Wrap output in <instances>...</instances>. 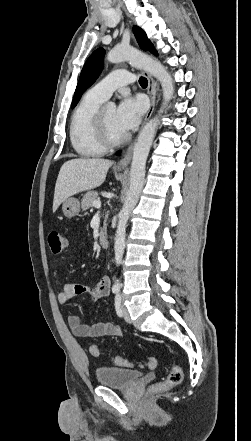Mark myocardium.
<instances>
[{"label":"myocardium","mask_w":251,"mask_h":441,"mask_svg":"<svg viewBox=\"0 0 251 441\" xmlns=\"http://www.w3.org/2000/svg\"><path fill=\"white\" fill-rule=\"evenodd\" d=\"M104 108H100L95 116V132L97 135L98 140L105 148H112L119 146L126 142L128 139V136L124 134L123 136L119 138H113L106 127L105 120H104V114H103Z\"/></svg>","instance_id":"f54148a6"}]
</instances>
